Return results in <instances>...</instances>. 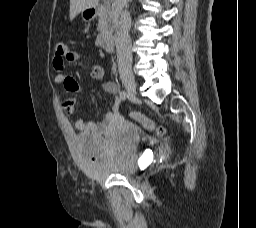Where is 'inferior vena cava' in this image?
<instances>
[{"label": "inferior vena cava", "instance_id": "602c4592", "mask_svg": "<svg viewBox=\"0 0 256 228\" xmlns=\"http://www.w3.org/2000/svg\"><path fill=\"white\" fill-rule=\"evenodd\" d=\"M129 0H115L112 5L113 27L115 29V45L120 76L131 74L132 52L129 29L122 20L123 8Z\"/></svg>", "mask_w": 256, "mask_h": 228}]
</instances>
